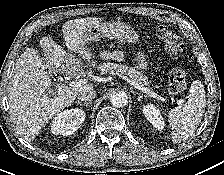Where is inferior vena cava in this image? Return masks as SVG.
<instances>
[{"instance_id":"inferior-vena-cava-1","label":"inferior vena cava","mask_w":224,"mask_h":175,"mask_svg":"<svg viewBox=\"0 0 224 175\" xmlns=\"http://www.w3.org/2000/svg\"><path fill=\"white\" fill-rule=\"evenodd\" d=\"M96 91L93 88H83L77 93V98L81 101H91L96 97Z\"/></svg>"}]
</instances>
